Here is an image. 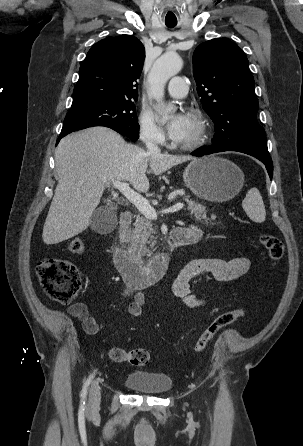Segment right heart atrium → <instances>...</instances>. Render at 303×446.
<instances>
[{
	"label": "right heart atrium",
	"mask_w": 303,
	"mask_h": 446,
	"mask_svg": "<svg viewBox=\"0 0 303 446\" xmlns=\"http://www.w3.org/2000/svg\"><path fill=\"white\" fill-rule=\"evenodd\" d=\"M138 124L140 138L146 145L160 146L164 144V132L150 112L142 111L139 115Z\"/></svg>",
	"instance_id": "obj_1"
}]
</instances>
